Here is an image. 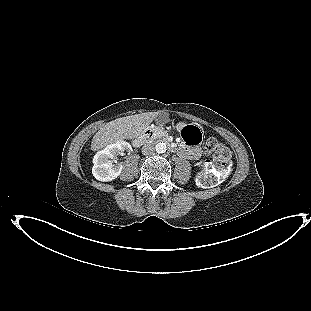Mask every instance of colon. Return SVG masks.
<instances>
[{
  "mask_svg": "<svg viewBox=\"0 0 311 311\" xmlns=\"http://www.w3.org/2000/svg\"><path fill=\"white\" fill-rule=\"evenodd\" d=\"M183 137L193 144L200 141V133L192 126L182 129ZM204 152L212 157L204 170L198 174L197 183L202 186H211L222 183L230 174L232 169V154L228 147L215 138H209L204 144Z\"/></svg>",
  "mask_w": 311,
  "mask_h": 311,
  "instance_id": "colon-1",
  "label": "colon"
}]
</instances>
